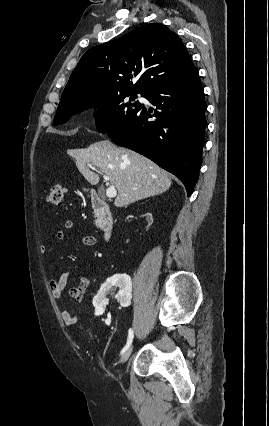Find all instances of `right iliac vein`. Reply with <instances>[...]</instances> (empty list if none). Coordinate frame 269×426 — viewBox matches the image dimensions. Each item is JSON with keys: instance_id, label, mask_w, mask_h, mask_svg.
I'll return each instance as SVG.
<instances>
[{"instance_id": "right-iliac-vein-1", "label": "right iliac vein", "mask_w": 269, "mask_h": 426, "mask_svg": "<svg viewBox=\"0 0 269 426\" xmlns=\"http://www.w3.org/2000/svg\"><path fill=\"white\" fill-rule=\"evenodd\" d=\"M132 353V346H130L121 356V361L125 363Z\"/></svg>"}]
</instances>
